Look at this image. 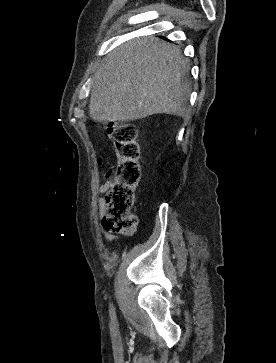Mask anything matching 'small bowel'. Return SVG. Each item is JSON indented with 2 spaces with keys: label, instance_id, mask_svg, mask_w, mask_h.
<instances>
[{
  "label": "small bowel",
  "instance_id": "c3829d8e",
  "mask_svg": "<svg viewBox=\"0 0 276 363\" xmlns=\"http://www.w3.org/2000/svg\"><path fill=\"white\" fill-rule=\"evenodd\" d=\"M99 179H101L102 181H104L101 185H99L96 189L97 193L102 194L105 193L107 190H109V188L112 185V180L108 178L107 174H100L99 175ZM97 205L99 206V215L102 216L104 213V201L101 197H99L97 199ZM103 236L107 241H117L119 239L118 236L112 234V233H108L103 231Z\"/></svg>",
  "mask_w": 276,
  "mask_h": 363
}]
</instances>
